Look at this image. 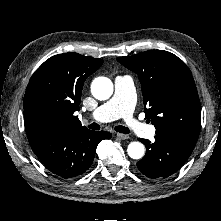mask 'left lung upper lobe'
<instances>
[{
	"mask_svg": "<svg viewBox=\"0 0 221 221\" xmlns=\"http://www.w3.org/2000/svg\"><path fill=\"white\" fill-rule=\"evenodd\" d=\"M142 85L144 112L156 134L172 133L197 141L201 105L192 74L174 54L150 50L117 58Z\"/></svg>",
	"mask_w": 221,
	"mask_h": 221,
	"instance_id": "obj_1",
	"label": "left lung upper lobe"
}]
</instances>
